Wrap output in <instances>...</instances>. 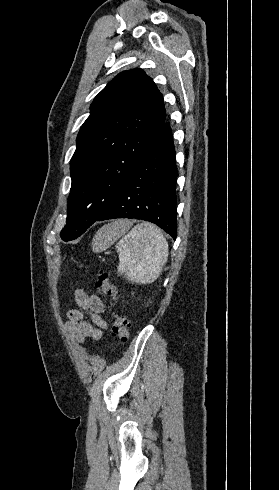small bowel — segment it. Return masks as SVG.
<instances>
[{
  "label": "small bowel",
  "mask_w": 279,
  "mask_h": 490,
  "mask_svg": "<svg viewBox=\"0 0 279 490\" xmlns=\"http://www.w3.org/2000/svg\"><path fill=\"white\" fill-rule=\"evenodd\" d=\"M74 300L79 309L69 310L66 329L81 343L86 339L100 340L103 330L107 327L101 318L105 305L98 296L89 295L82 290L75 291ZM85 316H89L92 323L87 321Z\"/></svg>",
  "instance_id": "1"
}]
</instances>
